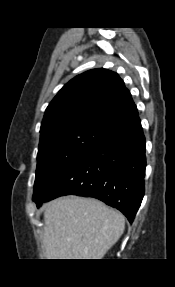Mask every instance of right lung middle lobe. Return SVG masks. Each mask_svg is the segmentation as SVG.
<instances>
[{
  "instance_id": "obj_1",
  "label": "right lung middle lobe",
  "mask_w": 175,
  "mask_h": 287,
  "mask_svg": "<svg viewBox=\"0 0 175 287\" xmlns=\"http://www.w3.org/2000/svg\"><path fill=\"white\" fill-rule=\"evenodd\" d=\"M113 127L101 122L74 123L41 134L33 196L45 192Z\"/></svg>"
}]
</instances>
